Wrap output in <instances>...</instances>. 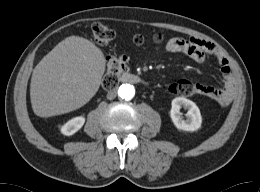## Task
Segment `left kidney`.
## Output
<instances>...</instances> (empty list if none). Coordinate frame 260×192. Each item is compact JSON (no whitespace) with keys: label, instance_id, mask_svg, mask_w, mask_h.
Here are the masks:
<instances>
[{"label":"left kidney","instance_id":"1","mask_svg":"<svg viewBox=\"0 0 260 192\" xmlns=\"http://www.w3.org/2000/svg\"><path fill=\"white\" fill-rule=\"evenodd\" d=\"M170 117L177 129L183 131H196L201 127L202 117L197 105L184 97H177L172 100ZM188 109L186 120L183 118L180 109Z\"/></svg>","mask_w":260,"mask_h":192}]
</instances>
